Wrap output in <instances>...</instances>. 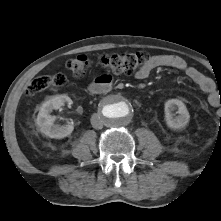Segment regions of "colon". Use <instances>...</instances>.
<instances>
[{
  "label": "colon",
  "mask_w": 221,
  "mask_h": 221,
  "mask_svg": "<svg viewBox=\"0 0 221 221\" xmlns=\"http://www.w3.org/2000/svg\"><path fill=\"white\" fill-rule=\"evenodd\" d=\"M149 60L146 52L133 53H104L100 55L98 62L106 71L114 74H132ZM91 62L86 54H79L67 61V68L78 78L87 75ZM66 76L63 73L42 75L35 77L26 89L28 95H35L47 89L60 88L66 84ZM221 124V113L218 115Z\"/></svg>",
  "instance_id": "obj_1"
}]
</instances>
